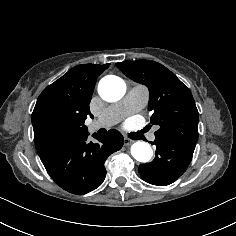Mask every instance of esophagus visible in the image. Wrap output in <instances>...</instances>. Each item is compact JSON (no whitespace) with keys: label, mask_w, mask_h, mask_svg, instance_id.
I'll use <instances>...</instances> for the list:
<instances>
[{"label":"esophagus","mask_w":236,"mask_h":236,"mask_svg":"<svg viewBox=\"0 0 236 236\" xmlns=\"http://www.w3.org/2000/svg\"><path fill=\"white\" fill-rule=\"evenodd\" d=\"M133 143L132 140H129L128 138H125V145H131Z\"/></svg>","instance_id":"obj_1"}]
</instances>
